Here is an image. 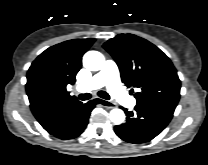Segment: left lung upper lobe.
Here are the masks:
<instances>
[{
  "label": "left lung upper lobe",
  "mask_w": 208,
  "mask_h": 165,
  "mask_svg": "<svg viewBox=\"0 0 208 165\" xmlns=\"http://www.w3.org/2000/svg\"><path fill=\"white\" fill-rule=\"evenodd\" d=\"M103 47L116 61L123 83L138 88V106L176 108L181 82L170 59L155 45L133 34H119Z\"/></svg>",
  "instance_id": "obj_1"
}]
</instances>
